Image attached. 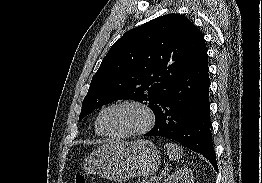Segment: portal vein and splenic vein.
Instances as JSON below:
<instances>
[{"mask_svg": "<svg viewBox=\"0 0 262 183\" xmlns=\"http://www.w3.org/2000/svg\"><path fill=\"white\" fill-rule=\"evenodd\" d=\"M151 181H153V182H154V181H157V179H151Z\"/></svg>", "mask_w": 262, "mask_h": 183, "instance_id": "obj_1", "label": "portal vein and splenic vein"}]
</instances>
